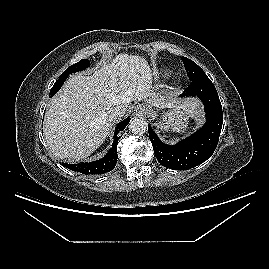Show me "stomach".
<instances>
[{"label": "stomach", "mask_w": 269, "mask_h": 269, "mask_svg": "<svg viewBox=\"0 0 269 269\" xmlns=\"http://www.w3.org/2000/svg\"><path fill=\"white\" fill-rule=\"evenodd\" d=\"M188 124V113L181 109H173L162 115L158 127L164 131L182 132Z\"/></svg>", "instance_id": "0dacf381"}]
</instances>
